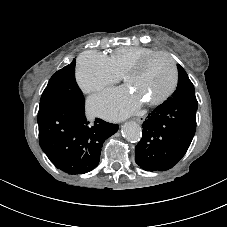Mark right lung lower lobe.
<instances>
[{"label":"right lung lower lobe","mask_w":227,"mask_h":227,"mask_svg":"<svg viewBox=\"0 0 227 227\" xmlns=\"http://www.w3.org/2000/svg\"><path fill=\"white\" fill-rule=\"evenodd\" d=\"M37 122L39 144L56 168L68 174H83L99 163L103 142L117 124L96 119L89 124L84 103H64L40 109Z\"/></svg>","instance_id":"right-lung-lower-lobe-1"}]
</instances>
